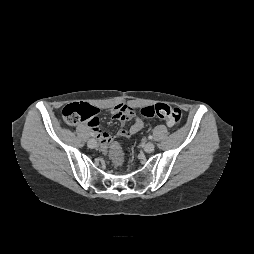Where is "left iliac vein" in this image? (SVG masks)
Here are the masks:
<instances>
[{"label":"left iliac vein","instance_id":"obj_1","mask_svg":"<svg viewBox=\"0 0 254 254\" xmlns=\"http://www.w3.org/2000/svg\"><path fill=\"white\" fill-rule=\"evenodd\" d=\"M154 148H155V146H154V144H153L152 142H147V143L145 144V146H144V150H145V152H147V153L153 152V151H154Z\"/></svg>","mask_w":254,"mask_h":254}]
</instances>
